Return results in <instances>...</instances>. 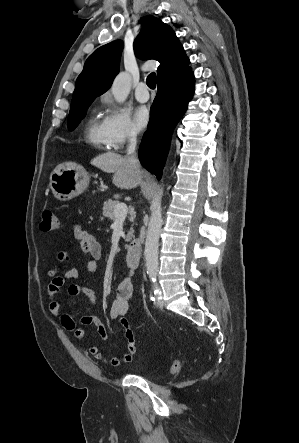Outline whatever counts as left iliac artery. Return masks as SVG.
<instances>
[{"instance_id":"44dca946","label":"left iliac artery","mask_w":299,"mask_h":443,"mask_svg":"<svg viewBox=\"0 0 299 443\" xmlns=\"http://www.w3.org/2000/svg\"><path fill=\"white\" fill-rule=\"evenodd\" d=\"M156 276H157L156 273L150 274V278H151L152 282L154 283V287H155L154 288L155 298L153 300L160 301L162 299V296H161V291L159 290L157 283H156Z\"/></svg>"}]
</instances>
